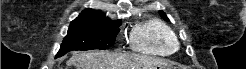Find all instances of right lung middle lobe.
<instances>
[{"instance_id": "1", "label": "right lung middle lobe", "mask_w": 246, "mask_h": 69, "mask_svg": "<svg viewBox=\"0 0 246 69\" xmlns=\"http://www.w3.org/2000/svg\"><path fill=\"white\" fill-rule=\"evenodd\" d=\"M120 24L121 21H72L56 57L72 50H104L113 46Z\"/></svg>"}]
</instances>
